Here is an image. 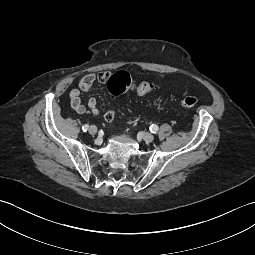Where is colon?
I'll return each instance as SVG.
<instances>
[{
  "label": "colon",
  "mask_w": 255,
  "mask_h": 255,
  "mask_svg": "<svg viewBox=\"0 0 255 255\" xmlns=\"http://www.w3.org/2000/svg\"><path fill=\"white\" fill-rule=\"evenodd\" d=\"M108 91L112 99H116L127 90H134L139 95H145L152 91L153 85L148 82L135 84L127 72L119 71L113 74L107 83ZM198 104V99L193 96H186L180 100L184 108L192 109Z\"/></svg>",
  "instance_id": "obj_1"
}]
</instances>
